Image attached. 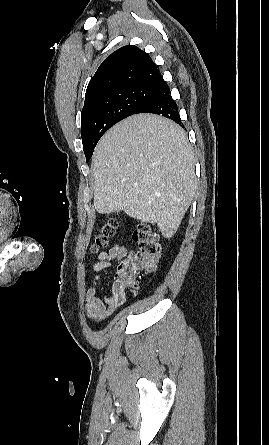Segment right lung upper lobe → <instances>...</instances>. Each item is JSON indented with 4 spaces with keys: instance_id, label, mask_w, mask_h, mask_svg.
<instances>
[{
    "instance_id": "right-lung-upper-lobe-1",
    "label": "right lung upper lobe",
    "mask_w": 269,
    "mask_h": 445,
    "mask_svg": "<svg viewBox=\"0 0 269 445\" xmlns=\"http://www.w3.org/2000/svg\"><path fill=\"white\" fill-rule=\"evenodd\" d=\"M162 76L150 56L134 45H126L109 55L91 78L84 105L115 89L157 86Z\"/></svg>"
}]
</instances>
